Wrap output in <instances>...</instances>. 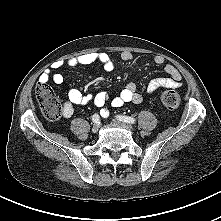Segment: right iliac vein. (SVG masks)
Masks as SVG:
<instances>
[{"mask_svg":"<svg viewBox=\"0 0 221 221\" xmlns=\"http://www.w3.org/2000/svg\"><path fill=\"white\" fill-rule=\"evenodd\" d=\"M99 128H100L99 124H94L93 127H92V131L94 133H97L99 131Z\"/></svg>","mask_w":221,"mask_h":221,"instance_id":"right-iliac-vein-1","label":"right iliac vein"}]
</instances>
